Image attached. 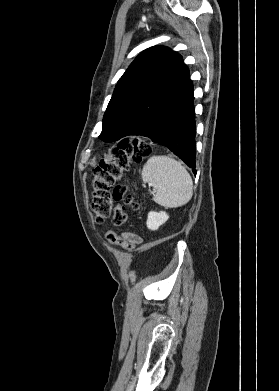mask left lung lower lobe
Segmentation results:
<instances>
[{"instance_id":"left-lung-lower-lobe-1","label":"left lung lower lobe","mask_w":279,"mask_h":391,"mask_svg":"<svg viewBox=\"0 0 279 391\" xmlns=\"http://www.w3.org/2000/svg\"><path fill=\"white\" fill-rule=\"evenodd\" d=\"M193 83L136 135L169 148L195 171V113Z\"/></svg>"}]
</instances>
